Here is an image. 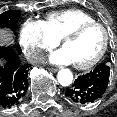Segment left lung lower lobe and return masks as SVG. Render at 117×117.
<instances>
[{
    "label": "left lung lower lobe",
    "mask_w": 117,
    "mask_h": 117,
    "mask_svg": "<svg viewBox=\"0 0 117 117\" xmlns=\"http://www.w3.org/2000/svg\"><path fill=\"white\" fill-rule=\"evenodd\" d=\"M109 77L110 65L101 63L93 71L79 76L66 91V95L75 103H92L101 98L106 91Z\"/></svg>",
    "instance_id": "1"
}]
</instances>
